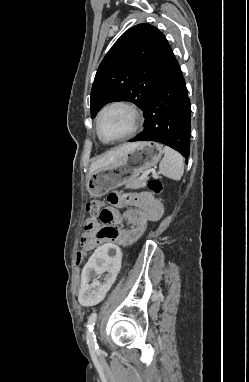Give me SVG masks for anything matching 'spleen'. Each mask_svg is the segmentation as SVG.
I'll use <instances>...</instances> for the list:
<instances>
[{
  "mask_svg": "<svg viewBox=\"0 0 249 382\" xmlns=\"http://www.w3.org/2000/svg\"><path fill=\"white\" fill-rule=\"evenodd\" d=\"M164 157L159 164L160 172L173 180H180L184 173V158L172 148L164 147Z\"/></svg>",
  "mask_w": 249,
  "mask_h": 382,
  "instance_id": "spleen-1",
  "label": "spleen"
}]
</instances>
